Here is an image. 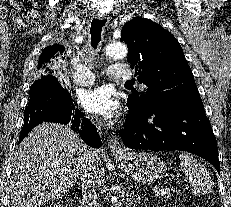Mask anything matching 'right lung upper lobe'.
<instances>
[{"mask_svg": "<svg viewBox=\"0 0 231 207\" xmlns=\"http://www.w3.org/2000/svg\"><path fill=\"white\" fill-rule=\"evenodd\" d=\"M65 51V47L60 44H53L51 46L46 47L39 58L38 67L39 70L44 71L49 65L53 62L58 61L59 55H61ZM52 75H46L44 77H49Z\"/></svg>", "mask_w": 231, "mask_h": 207, "instance_id": "1", "label": "right lung upper lobe"}]
</instances>
